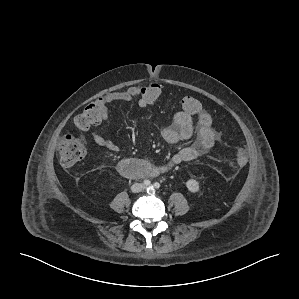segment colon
I'll list each match as a JSON object with an SVG mask.
<instances>
[{"label": "colon", "mask_w": 299, "mask_h": 299, "mask_svg": "<svg viewBox=\"0 0 299 299\" xmlns=\"http://www.w3.org/2000/svg\"><path fill=\"white\" fill-rule=\"evenodd\" d=\"M138 94L146 100L148 104L158 100L161 89L157 84H150L138 87ZM182 110L190 115H194L201 110V105L197 99L186 96L181 101ZM103 115V105L95 101L88 104L83 111L74 118L75 126L80 130H88L93 125L100 123ZM60 161L64 166H73L86 155V144L83 139L73 135H65L58 145ZM247 163V156L244 150H238L230 159L229 164L233 168H242Z\"/></svg>", "instance_id": "obj_1"}]
</instances>
